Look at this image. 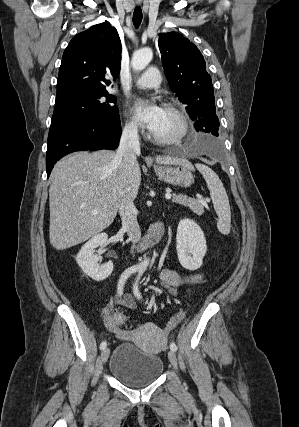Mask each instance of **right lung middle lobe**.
Wrapping results in <instances>:
<instances>
[{
    "label": "right lung middle lobe",
    "mask_w": 299,
    "mask_h": 427,
    "mask_svg": "<svg viewBox=\"0 0 299 427\" xmlns=\"http://www.w3.org/2000/svg\"><path fill=\"white\" fill-rule=\"evenodd\" d=\"M116 98L107 91L84 93L55 102L51 124L75 117L120 123Z\"/></svg>",
    "instance_id": "obj_1"
}]
</instances>
